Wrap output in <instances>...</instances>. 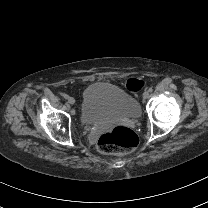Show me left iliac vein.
<instances>
[{"label":"left iliac vein","mask_w":208,"mask_h":208,"mask_svg":"<svg viewBox=\"0 0 208 208\" xmlns=\"http://www.w3.org/2000/svg\"><path fill=\"white\" fill-rule=\"evenodd\" d=\"M149 97V92L148 91H145L144 93H143V98L144 99H147Z\"/></svg>","instance_id":"left-iliac-vein-1"}]
</instances>
